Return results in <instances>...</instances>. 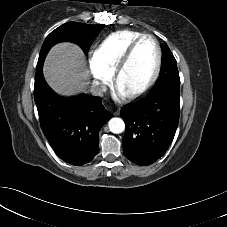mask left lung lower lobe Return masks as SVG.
Segmentation results:
<instances>
[{"instance_id": "1", "label": "left lung lower lobe", "mask_w": 227, "mask_h": 227, "mask_svg": "<svg viewBox=\"0 0 227 227\" xmlns=\"http://www.w3.org/2000/svg\"><path fill=\"white\" fill-rule=\"evenodd\" d=\"M179 99L177 90L156 89L121 110L126 124L123 152L131 162L150 165L166 152L179 122Z\"/></svg>"}]
</instances>
